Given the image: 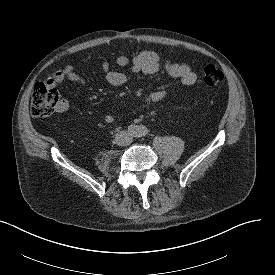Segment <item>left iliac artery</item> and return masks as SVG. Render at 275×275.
<instances>
[{
	"instance_id": "1",
	"label": "left iliac artery",
	"mask_w": 275,
	"mask_h": 275,
	"mask_svg": "<svg viewBox=\"0 0 275 275\" xmlns=\"http://www.w3.org/2000/svg\"><path fill=\"white\" fill-rule=\"evenodd\" d=\"M149 130L145 126H140L137 129V135L138 137L146 136L148 134Z\"/></svg>"
}]
</instances>
